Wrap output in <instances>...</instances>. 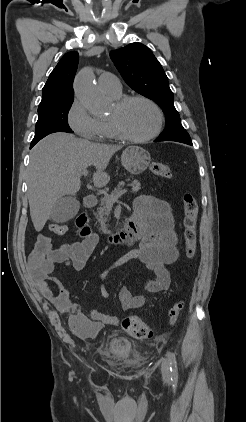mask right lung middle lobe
Wrapping results in <instances>:
<instances>
[{"instance_id": "right-lung-middle-lobe-1", "label": "right lung middle lobe", "mask_w": 246, "mask_h": 422, "mask_svg": "<svg viewBox=\"0 0 246 422\" xmlns=\"http://www.w3.org/2000/svg\"><path fill=\"white\" fill-rule=\"evenodd\" d=\"M73 101L66 99L38 108V121L31 145L54 132H73L68 125V111Z\"/></svg>"}]
</instances>
